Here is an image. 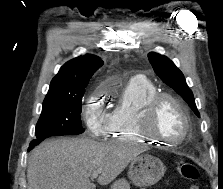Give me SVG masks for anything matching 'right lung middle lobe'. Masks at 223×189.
Instances as JSON below:
<instances>
[{"label":"right lung middle lobe","mask_w":223,"mask_h":189,"mask_svg":"<svg viewBox=\"0 0 223 189\" xmlns=\"http://www.w3.org/2000/svg\"><path fill=\"white\" fill-rule=\"evenodd\" d=\"M83 94L84 89L72 94L46 95L36 125V139L83 133L80 117Z\"/></svg>","instance_id":"dd1d6c3e"}]
</instances>
